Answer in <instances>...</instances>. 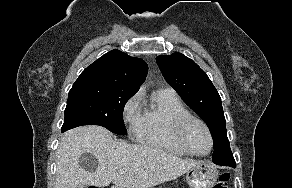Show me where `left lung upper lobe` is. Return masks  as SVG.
<instances>
[{
	"instance_id": "obj_1",
	"label": "left lung upper lobe",
	"mask_w": 292,
	"mask_h": 188,
	"mask_svg": "<svg viewBox=\"0 0 292 188\" xmlns=\"http://www.w3.org/2000/svg\"><path fill=\"white\" fill-rule=\"evenodd\" d=\"M156 61L167 83L209 127L214 143L213 162L233 157L221 98L206 73L181 53L160 55Z\"/></svg>"
}]
</instances>
